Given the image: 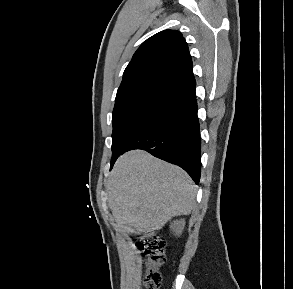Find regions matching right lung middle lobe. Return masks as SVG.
<instances>
[{
	"mask_svg": "<svg viewBox=\"0 0 293 289\" xmlns=\"http://www.w3.org/2000/svg\"><path fill=\"white\" fill-rule=\"evenodd\" d=\"M175 107L172 102L153 96L131 97L115 104L112 115L113 155Z\"/></svg>",
	"mask_w": 293,
	"mask_h": 289,
	"instance_id": "1",
	"label": "right lung middle lobe"
}]
</instances>
